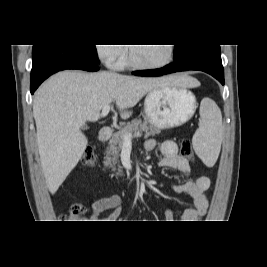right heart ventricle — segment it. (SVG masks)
Here are the masks:
<instances>
[{
	"mask_svg": "<svg viewBox=\"0 0 267 267\" xmlns=\"http://www.w3.org/2000/svg\"><path fill=\"white\" fill-rule=\"evenodd\" d=\"M126 64H127V61H126V59L123 57V58L121 59L120 66H124V65H126Z\"/></svg>",
	"mask_w": 267,
	"mask_h": 267,
	"instance_id": "right-heart-ventricle-1",
	"label": "right heart ventricle"
}]
</instances>
